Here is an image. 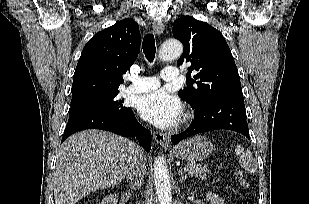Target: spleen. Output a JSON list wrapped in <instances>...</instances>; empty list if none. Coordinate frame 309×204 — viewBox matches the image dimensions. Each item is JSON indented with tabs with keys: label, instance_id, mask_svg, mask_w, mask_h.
<instances>
[{
	"label": "spleen",
	"instance_id": "spleen-1",
	"mask_svg": "<svg viewBox=\"0 0 309 204\" xmlns=\"http://www.w3.org/2000/svg\"><path fill=\"white\" fill-rule=\"evenodd\" d=\"M235 155L238 157L241 167L248 173L254 174L257 172V163L250 151L244 150L241 145H237Z\"/></svg>",
	"mask_w": 309,
	"mask_h": 204
}]
</instances>
